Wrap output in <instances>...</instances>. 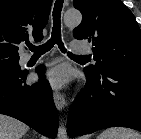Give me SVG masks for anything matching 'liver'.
I'll use <instances>...</instances> for the list:
<instances>
[{"label": "liver", "instance_id": "liver-1", "mask_svg": "<svg viewBox=\"0 0 141 139\" xmlns=\"http://www.w3.org/2000/svg\"><path fill=\"white\" fill-rule=\"evenodd\" d=\"M28 129L21 121L0 114V139H22Z\"/></svg>", "mask_w": 141, "mask_h": 139}]
</instances>
